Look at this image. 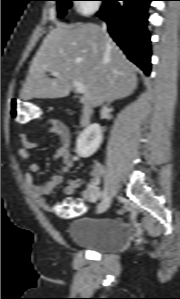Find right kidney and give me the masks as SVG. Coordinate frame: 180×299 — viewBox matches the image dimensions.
Here are the masks:
<instances>
[{
    "label": "right kidney",
    "mask_w": 180,
    "mask_h": 299,
    "mask_svg": "<svg viewBox=\"0 0 180 299\" xmlns=\"http://www.w3.org/2000/svg\"><path fill=\"white\" fill-rule=\"evenodd\" d=\"M102 143L101 128L98 124H91L84 129L76 141V152L80 157L93 155Z\"/></svg>",
    "instance_id": "ca27d5eb"
}]
</instances>
